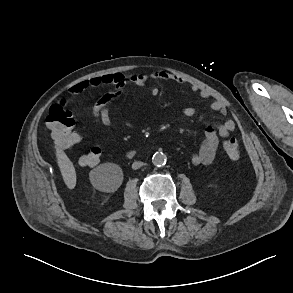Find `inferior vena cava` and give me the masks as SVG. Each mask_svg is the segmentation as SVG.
Masks as SVG:
<instances>
[{
	"label": "inferior vena cava",
	"mask_w": 293,
	"mask_h": 293,
	"mask_svg": "<svg viewBox=\"0 0 293 293\" xmlns=\"http://www.w3.org/2000/svg\"><path fill=\"white\" fill-rule=\"evenodd\" d=\"M143 165H144L143 162L136 161V162H134V163L132 164V169L137 170V169H139L140 167H142Z\"/></svg>",
	"instance_id": "602c4592"
}]
</instances>
